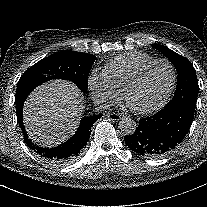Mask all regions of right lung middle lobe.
<instances>
[{
	"mask_svg": "<svg viewBox=\"0 0 207 207\" xmlns=\"http://www.w3.org/2000/svg\"><path fill=\"white\" fill-rule=\"evenodd\" d=\"M95 60L93 54L67 50L38 61L19 79L15 102L26 99L37 86L53 79L72 81L83 93H86L89 72Z\"/></svg>",
	"mask_w": 207,
	"mask_h": 207,
	"instance_id": "dd1d6c3e",
	"label": "right lung middle lobe"
}]
</instances>
